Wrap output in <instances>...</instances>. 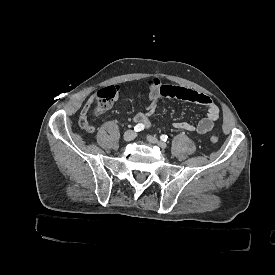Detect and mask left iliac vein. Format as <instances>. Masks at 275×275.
I'll return each instance as SVG.
<instances>
[{
	"label": "left iliac vein",
	"instance_id": "obj_1",
	"mask_svg": "<svg viewBox=\"0 0 275 275\" xmlns=\"http://www.w3.org/2000/svg\"><path fill=\"white\" fill-rule=\"evenodd\" d=\"M148 141L152 144H158L162 149H165L167 147L166 143L159 141L156 137L154 136H148Z\"/></svg>",
	"mask_w": 275,
	"mask_h": 275
}]
</instances>
